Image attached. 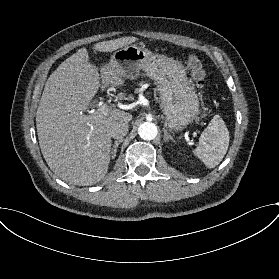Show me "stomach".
<instances>
[{"instance_id":"stomach-1","label":"stomach","mask_w":279,"mask_h":279,"mask_svg":"<svg viewBox=\"0 0 279 279\" xmlns=\"http://www.w3.org/2000/svg\"><path fill=\"white\" fill-rule=\"evenodd\" d=\"M111 63L121 70L124 77L134 79L142 70L154 80L159 88L160 108L167 130L181 132L198 116L197 93L186 68L178 59L130 45L117 50Z\"/></svg>"}]
</instances>
